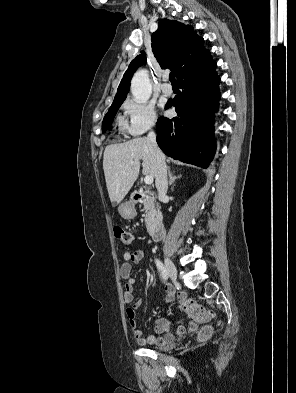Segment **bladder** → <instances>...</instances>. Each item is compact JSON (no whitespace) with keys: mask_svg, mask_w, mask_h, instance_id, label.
Returning a JSON list of instances; mask_svg holds the SVG:
<instances>
[{"mask_svg":"<svg viewBox=\"0 0 296 393\" xmlns=\"http://www.w3.org/2000/svg\"><path fill=\"white\" fill-rule=\"evenodd\" d=\"M173 347H174V342L171 341L170 343H168L166 345L159 346V347H153V349L165 351V350H169V349H171Z\"/></svg>","mask_w":296,"mask_h":393,"instance_id":"31cf9c89","label":"bladder"}]
</instances>
